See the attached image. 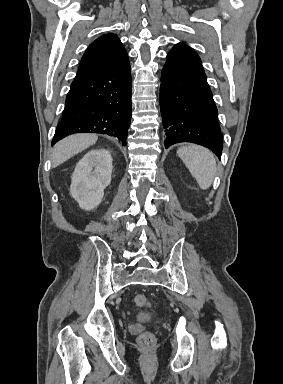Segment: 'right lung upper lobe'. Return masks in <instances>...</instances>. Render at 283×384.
Listing matches in <instances>:
<instances>
[{
  "mask_svg": "<svg viewBox=\"0 0 283 384\" xmlns=\"http://www.w3.org/2000/svg\"><path fill=\"white\" fill-rule=\"evenodd\" d=\"M128 62L127 52L119 38L112 33L105 34L89 45L75 79L116 70Z\"/></svg>",
  "mask_w": 283,
  "mask_h": 384,
  "instance_id": "1",
  "label": "right lung upper lobe"
}]
</instances>
